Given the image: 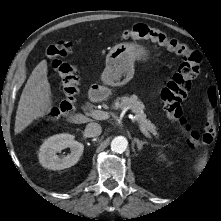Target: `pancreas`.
Returning a JSON list of instances; mask_svg holds the SVG:
<instances>
[{
  "label": "pancreas",
  "mask_w": 221,
  "mask_h": 221,
  "mask_svg": "<svg viewBox=\"0 0 221 221\" xmlns=\"http://www.w3.org/2000/svg\"><path fill=\"white\" fill-rule=\"evenodd\" d=\"M144 104L136 95L118 97L114 102V109H130L135 115V120L141 124L147 132L152 133L158 137L156 126L146 118V114L143 112Z\"/></svg>",
  "instance_id": "pancreas-1"
}]
</instances>
